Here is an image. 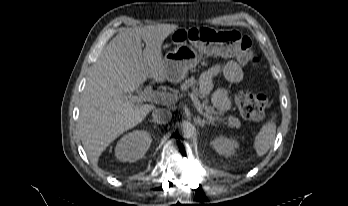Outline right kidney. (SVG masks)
<instances>
[{
    "instance_id": "ca27d5eb",
    "label": "right kidney",
    "mask_w": 348,
    "mask_h": 206,
    "mask_svg": "<svg viewBox=\"0 0 348 206\" xmlns=\"http://www.w3.org/2000/svg\"><path fill=\"white\" fill-rule=\"evenodd\" d=\"M151 142V135L147 131H132L118 141L115 156L122 162H135L145 155Z\"/></svg>"
}]
</instances>
